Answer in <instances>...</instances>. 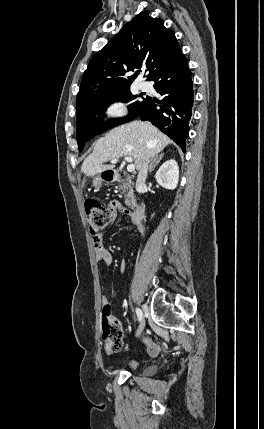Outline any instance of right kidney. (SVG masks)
Instances as JSON below:
<instances>
[{
	"instance_id": "1",
	"label": "right kidney",
	"mask_w": 264,
	"mask_h": 429,
	"mask_svg": "<svg viewBox=\"0 0 264 429\" xmlns=\"http://www.w3.org/2000/svg\"><path fill=\"white\" fill-rule=\"evenodd\" d=\"M156 181L163 188L174 190L179 181V167L174 159L164 162L155 174Z\"/></svg>"
}]
</instances>
